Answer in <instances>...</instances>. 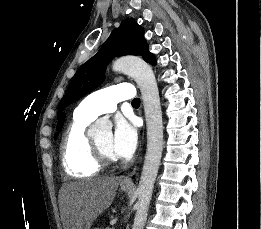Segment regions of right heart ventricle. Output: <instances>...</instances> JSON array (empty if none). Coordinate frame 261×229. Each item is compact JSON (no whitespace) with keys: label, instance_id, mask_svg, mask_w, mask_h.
Returning a JSON list of instances; mask_svg holds the SVG:
<instances>
[{"label":"right heart ventricle","instance_id":"obj_1","mask_svg":"<svg viewBox=\"0 0 261 229\" xmlns=\"http://www.w3.org/2000/svg\"><path fill=\"white\" fill-rule=\"evenodd\" d=\"M84 114L79 105L75 107L72 121L60 143L64 169L80 177L94 176L102 170V162L97 156L94 142L86 133L94 119L85 117Z\"/></svg>","mask_w":261,"mask_h":229}]
</instances>
